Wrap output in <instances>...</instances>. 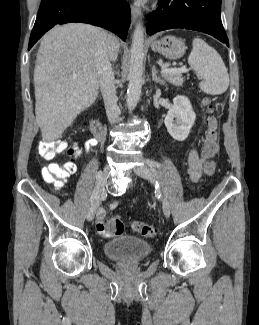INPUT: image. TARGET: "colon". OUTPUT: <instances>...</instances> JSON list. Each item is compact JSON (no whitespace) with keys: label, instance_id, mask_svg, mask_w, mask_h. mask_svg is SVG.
<instances>
[{"label":"colon","instance_id":"1","mask_svg":"<svg viewBox=\"0 0 259 325\" xmlns=\"http://www.w3.org/2000/svg\"><path fill=\"white\" fill-rule=\"evenodd\" d=\"M204 105L209 113L206 139L202 151L203 156L207 159L204 171L206 174L212 175L215 172L216 166L210 158L218 151V124L216 117L213 115V108L210 101L205 100ZM39 153L45 159H52L59 153H67L70 156H75L79 154V150L76 146H69L66 142L58 139L41 142L39 144ZM74 171L75 164L72 161H67L64 164H52L45 169L43 178L46 182L53 184L59 189ZM132 228L146 238H151L155 235L154 226L141 221H134ZM106 230L114 235L122 234L124 231V223L119 217H112L106 223Z\"/></svg>","mask_w":259,"mask_h":325}]
</instances>
